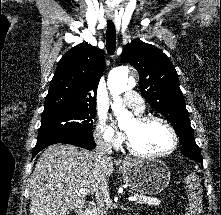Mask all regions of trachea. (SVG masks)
<instances>
[{
	"mask_svg": "<svg viewBox=\"0 0 221 215\" xmlns=\"http://www.w3.org/2000/svg\"><path fill=\"white\" fill-rule=\"evenodd\" d=\"M106 49L110 55H114L116 49V30L112 21L107 22Z\"/></svg>",
	"mask_w": 221,
	"mask_h": 215,
	"instance_id": "trachea-1",
	"label": "trachea"
}]
</instances>
